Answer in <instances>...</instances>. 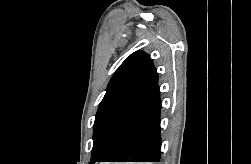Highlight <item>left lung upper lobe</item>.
I'll list each match as a JSON object with an SVG mask.
<instances>
[{
  "instance_id": "5c2ea615",
  "label": "left lung upper lobe",
  "mask_w": 251,
  "mask_h": 164,
  "mask_svg": "<svg viewBox=\"0 0 251 164\" xmlns=\"http://www.w3.org/2000/svg\"><path fill=\"white\" fill-rule=\"evenodd\" d=\"M156 82L158 73L148 54L136 51L112 76L94 122L93 148L89 164L105 160L124 117L136 101Z\"/></svg>"
}]
</instances>
